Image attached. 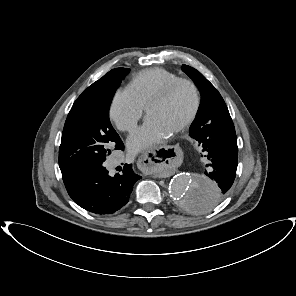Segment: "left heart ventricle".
<instances>
[{"label": "left heart ventricle", "instance_id": "b2bd125f", "mask_svg": "<svg viewBox=\"0 0 296 296\" xmlns=\"http://www.w3.org/2000/svg\"><path fill=\"white\" fill-rule=\"evenodd\" d=\"M193 106V91L188 86H182L167 101L153 106L148 116L173 132L188 118Z\"/></svg>", "mask_w": 296, "mask_h": 296}]
</instances>
